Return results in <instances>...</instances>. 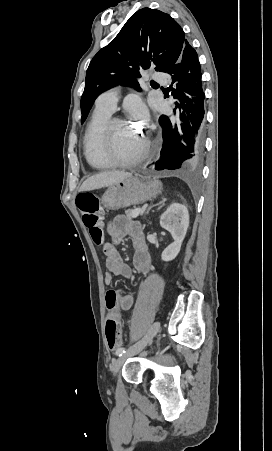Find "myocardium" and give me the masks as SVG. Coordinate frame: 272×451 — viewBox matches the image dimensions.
I'll use <instances>...</instances> for the list:
<instances>
[{
  "label": "myocardium",
  "instance_id": "1",
  "mask_svg": "<svg viewBox=\"0 0 272 451\" xmlns=\"http://www.w3.org/2000/svg\"><path fill=\"white\" fill-rule=\"evenodd\" d=\"M117 122H126V119L121 117L108 118L98 135V140L103 145L105 158L108 161V163L111 161L113 154L115 155L117 153L113 141V126ZM143 150L144 145H135L130 150L128 155L120 158L118 157L117 158L118 162H120L121 165H123L124 163L133 162L134 160L140 157Z\"/></svg>",
  "mask_w": 272,
  "mask_h": 451
}]
</instances>
